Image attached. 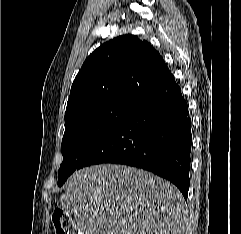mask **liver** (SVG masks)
Segmentation results:
<instances>
[{"instance_id":"1","label":"liver","mask_w":241,"mask_h":234,"mask_svg":"<svg viewBox=\"0 0 241 234\" xmlns=\"http://www.w3.org/2000/svg\"><path fill=\"white\" fill-rule=\"evenodd\" d=\"M80 234H178L185 203L168 181L142 169L100 164L75 171L60 198Z\"/></svg>"}]
</instances>
